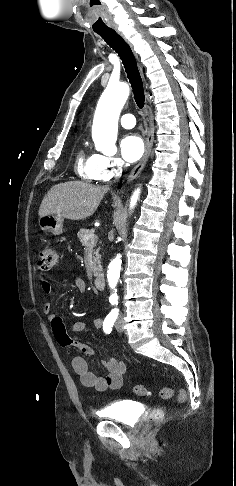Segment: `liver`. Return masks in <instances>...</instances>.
Returning a JSON list of instances; mask_svg holds the SVG:
<instances>
[{
    "mask_svg": "<svg viewBox=\"0 0 236 486\" xmlns=\"http://www.w3.org/2000/svg\"><path fill=\"white\" fill-rule=\"evenodd\" d=\"M108 188L73 181L53 186L42 200L39 216L57 215L70 220L91 216Z\"/></svg>",
    "mask_w": 236,
    "mask_h": 486,
    "instance_id": "6515ba94",
    "label": "liver"
}]
</instances>
